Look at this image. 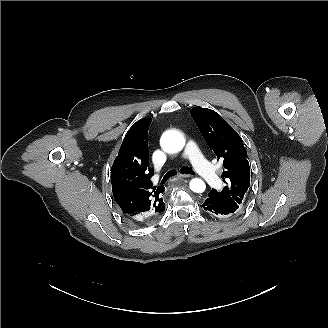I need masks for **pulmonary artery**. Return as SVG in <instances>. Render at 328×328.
Returning a JSON list of instances; mask_svg holds the SVG:
<instances>
[{
  "instance_id": "1",
  "label": "pulmonary artery",
  "mask_w": 328,
  "mask_h": 328,
  "mask_svg": "<svg viewBox=\"0 0 328 328\" xmlns=\"http://www.w3.org/2000/svg\"><path fill=\"white\" fill-rule=\"evenodd\" d=\"M187 161L193 164V169L196 174L204 177L211 184H216L220 180V174L215 167L206 159L205 154L194 141H189L185 148Z\"/></svg>"
}]
</instances>
